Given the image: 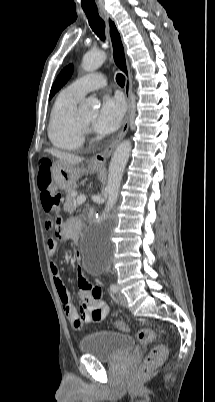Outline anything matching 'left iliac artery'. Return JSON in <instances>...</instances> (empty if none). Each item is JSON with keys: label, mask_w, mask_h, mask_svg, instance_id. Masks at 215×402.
I'll return each mask as SVG.
<instances>
[{"label": "left iliac artery", "mask_w": 215, "mask_h": 402, "mask_svg": "<svg viewBox=\"0 0 215 402\" xmlns=\"http://www.w3.org/2000/svg\"><path fill=\"white\" fill-rule=\"evenodd\" d=\"M110 290H111L113 293H116V292L118 291V288H117V286H116L115 284H111V285H110Z\"/></svg>", "instance_id": "left-iliac-artery-1"}]
</instances>
